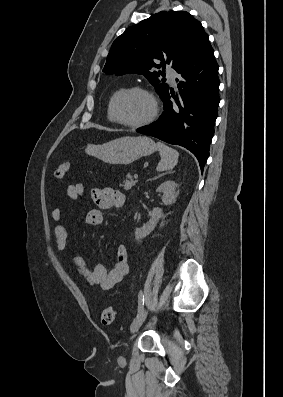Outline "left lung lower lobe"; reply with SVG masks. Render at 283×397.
Segmentation results:
<instances>
[{
  "instance_id": "left-lung-lower-lobe-1",
  "label": "left lung lower lobe",
  "mask_w": 283,
  "mask_h": 397,
  "mask_svg": "<svg viewBox=\"0 0 283 397\" xmlns=\"http://www.w3.org/2000/svg\"><path fill=\"white\" fill-rule=\"evenodd\" d=\"M218 68L209 45L177 71L179 92L175 94L168 89L161 96L164 112L160 119L137 129L139 133L185 147L196 156L202 171L209 156L220 102Z\"/></svg>"
}]
</instances>
